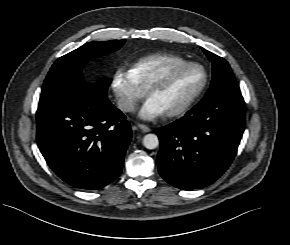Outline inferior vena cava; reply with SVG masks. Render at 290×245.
<instances>
[{
	"instance_id": "602c4592",
	"label": "inferior vena cava",
	"mask_w": 290,
	"mask_h": 245,
	"mask_svg": "<svg viewBox=\"0 0 290 245\" xmlns=\"http://www.w3.org/2000/svg\"><path fill=\"white\" fill-rule=\"evenodd\" d=\"M118 108L123 112H132L135 109V104L132 99L122 96L117 101Z\"/></svg>"
}]
</instances>
